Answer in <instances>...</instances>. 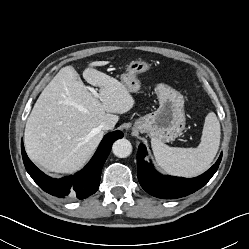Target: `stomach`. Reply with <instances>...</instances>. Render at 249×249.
Listing matches in <instances>:
<instances>
[{
    "label": "stomach",
    "instance_id": "1",
    "mask_svg": "<svg viewBox=\"0 0 249 249\" xmlns=\"http://www.w3.org/2000/svg\"><path fill=\"white\" fill-rule=\"evenodd\" d=\"M151 64L142 59H136L126 65L121 81L129 92L140 89L137 76L150 70ZM155 92L159 101V108L137 119L133 125L134 132L147 133L151 138L163 142L175 140L185 128L183 96L166 84H158Z\"/></svg>",
    "mask_w": 249,
    "mask_h": 249
}]
</instances>
